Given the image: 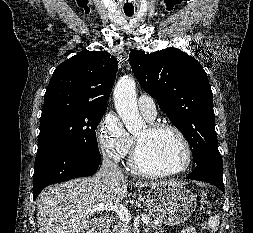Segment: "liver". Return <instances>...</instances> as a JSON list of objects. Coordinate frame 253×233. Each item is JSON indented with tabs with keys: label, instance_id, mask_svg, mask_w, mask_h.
<instances>
[{
	"label": "liver",
	"instance_id": "1",
	"mask_svg": "<svg viewBox=\"0 0 253 233\" xmlns=\"http://www.w3.org/2000/svg\"><path fill=\"white\" fill-rule=\"evenodd\" d=\"M170 182H141L135 187H155ZM127 181L117 177L77 178L46 188L37 200L39 233H89L84 212L98 204H117L127 195Z\"/></svg>",
	"mask_w": 253,
	"mask_h": 233
}]
</instances>
